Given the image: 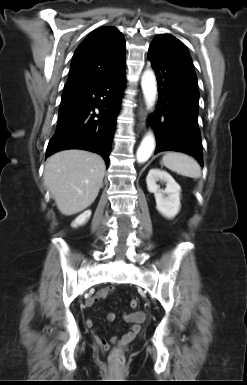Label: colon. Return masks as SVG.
Returning <instances> with one entry per match:
<instances>
[{
  "label": "colon",
  "mask_w": 247,
  "mask_h": 385,
  "mask_svg": "<svg viewBox=\"0 0 247 385\" xmlns=\"http://www.w3.org/2000/svg\"><path fill=\"white\" fill-rule=\"evenodd\" d=\"M138 301L137 300H132L130 302V306L131 308H137L138 307ZM122 353H123V347L122 346H119V347H116L112 350L111 352V360H112V364L113 365H118L120 364L121 362V359H122Z\"/></svg>",
  "instance_id": "colon-1"
}]
</instances>
